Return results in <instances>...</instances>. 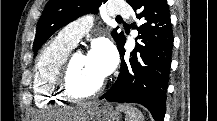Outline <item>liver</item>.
Masks as SVG:
<instances>
[{"mask_svg": "<svg viewBox=\"0 0 217 121\" xmlns=\"http://www.w3.org/2000/svg\"><path fill=\"white\" fill-rule=\"evenodd\" d=\"M97 104H88L83 107L71 111L65 115L66 119H74V121H87L88 114L91 112L92 108Z\"/></svg>", "mask_w": 217, "mask_h": 121, "instance_id": "1", "label": "liver"}]
</instances>
